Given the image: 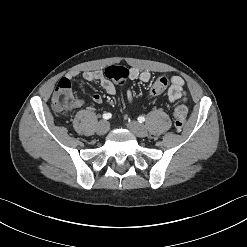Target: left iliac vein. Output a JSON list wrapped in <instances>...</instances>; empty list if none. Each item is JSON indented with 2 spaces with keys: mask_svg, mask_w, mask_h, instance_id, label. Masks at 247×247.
Segmentation results:
<instances>
[{
  "mask_svg": "<svg viewBox=\"0 0 247 247\" xmlns=\"http://www.w3.org/2000/svg\"><path fill=\"white\" fill-rule=\"evenodd\" d=\"M127 126L138 137H146L148 135L147 128L143 124H141L137 121H130L127 123Z\"/></svg>",
  "mask_w": 247,
  "mask_h": 247,
  "instance_id": "1",
  "label": "left iliac vein"
}]
</instances>
